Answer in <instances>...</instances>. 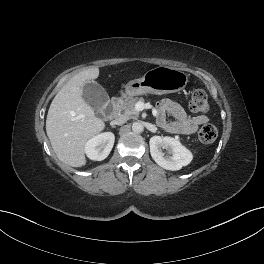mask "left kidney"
<instances>
[{
  "mask_svg": "<svg viewBox=\"0 0 264 264\" xmlns=\"http://www.w3.org/2000/svg\"><path fill=\"white\" fill-rule=\"evenodd\" d=\"M149 145L153 160L166 170H180L192 160L191 152L172 137L153 136L150 138ZM163 149L168 151L167 155Z\"/></svg>",
  "mask_w": 264,
  "mask_h": 264,
  "instance_id": "5707ae66",
  "label": "left kidney"
}]
</instances>
